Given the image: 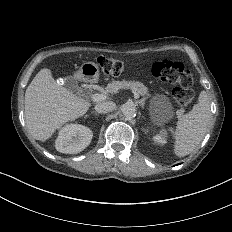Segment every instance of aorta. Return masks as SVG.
<instances>
[{"mask_svg": "<svg viewBox=\"0 0 232 232\" xmlns=\"http://www.w3.org/2000/svg\"><path fill=\"white\" fill-rule=\"evenodd\" d=\"M121 112L127 119H132L136 116V106L132 102H127L121 106Z\"/></svg>", "mask_w": 232, "mask_h": 232, "instance_id": "1", "label": "aorta"}]
</instances>
